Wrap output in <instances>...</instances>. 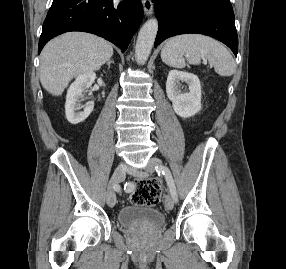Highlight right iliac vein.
Masks as SVG:
<instances>
[{"mask_svg": "<svg viewBox=\"0 0 286 269\" xmlns=\"http://www.w3.org/2000/svg\"><path fill=\"white\" fill-rule=\"evenodd\" d=\"M127 167L125 164H119L109 182L108 185V190H107V204L110 207H113L116 204V195L113 190V186L120 183L121 181L124 180L125 175H126Z\"/></svg>", "mask_w": 286, "mask_h": 269, "instance_id": "63e3f726", "label": "right iliac vein"}]
</instances>
